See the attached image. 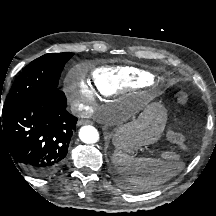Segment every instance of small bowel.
I'll return each mask as SVG.
<instances>
[{
	"mask_svg": "<svg viewBox=\"0 0 216 216\" xmlns=\"http://www.w3.org/2000/svg\"><path fill=\"white\" fill-rule=\"evenodd\" d=\"M169 139L173 144H175L181 150L187 149V146L184 141V137L180 132L176 130H171L169 133Z\"/></svg>",
	"mask_w": 216,
	"mask_h": 216,
	"instance_id": "1",
	"label": "small bowel"
}]
</instances>
